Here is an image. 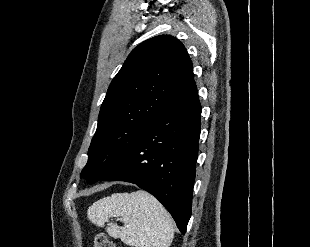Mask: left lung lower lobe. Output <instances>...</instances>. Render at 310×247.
<instances>
[{"label": "left lung lower lobe", "mask_w": 310, "mask_h": 247, "mask_svg": "<svg viewBox=\"0 0 310 247\" xmlns=\"http://www.w3.org/2000/svg\"><path fill=\"white\" fill-rule=\"evenodd\" d=\"M201 105L194 85L147 128L100 180L125 181L154 195L185 234L191 216Z\"/></svg>", "instance_id": "left-lung-lower-lobe-1"}]
</instances>
